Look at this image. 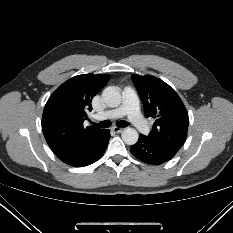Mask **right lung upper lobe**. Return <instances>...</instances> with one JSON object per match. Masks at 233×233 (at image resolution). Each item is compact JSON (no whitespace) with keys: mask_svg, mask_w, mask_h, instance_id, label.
<instances>
[{"mask_svg":"<svg viewBox=\"0 0 233 233\" xmlns=\"http://www.w3.org/2000/svg\"><path fill=\"white\" fill-rule=\"evenodd\" d=\"M107 74H82L64 82L48 99L42 116L45 139L61 160L66 159L88 144L103 131L83 127L92 98L106 85Z\"/></svg>","mask_w":233,"mask_h":233,"instance_id":"cb5924a9","label":"right lung upper lobe"}]
</instances>
